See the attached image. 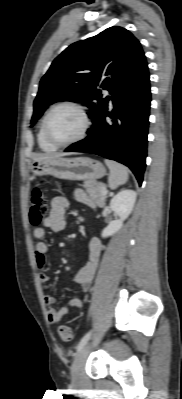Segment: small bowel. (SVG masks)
Returning a JSON list of instances; mask_svg holds the SVG:
<instances>
[{"label": "small bowel", "mask_w": 182, "mask_h": 399, "mask_svg": "<svg viewBox=\"0 0 182 399\" xmlns=\"http://www.w3.org/2000/svg\"><path fill=\"white\" fill-rule=\"evenodd\" d=\"M74 195L79 202L91 208H95L97 206L96 200L82 190H76ZM68 205V199L64 196H55L52 198L49 215L44 219L42 226L35 228L33 231L34 238L39 240L35 246V262L40 270H43L47 265L48 246L43 241L46 236V229H50L54 232H60L65 229L66 209ZM101 250V241L98 238H92L89 242L88 261L74 277L75 282L79 284L86 293L91 287V283L98 266ZM39 279L42 282H47L49 280V276L44 271H41L39 273ZM45 300L48 304L46 309L47 318L51 324L59 323L61 319L69 312L70 308L76 307L81 309L83 307V301L78 297L71 299L68 305L61 308H56L54 306L55 299L52 296L47 295Z\"/></svg>", "instance_id": "c3829d8e"}]
</instances>
